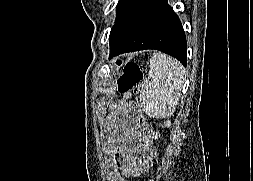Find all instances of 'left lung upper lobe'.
Segmentation results:
<instances>
[{"label":"left lung upper lobe","mask_w":253,"mask_h":181,"mask_svg":"<svg viewBox=\"0 0 253 181\" xmlns=\"http://www.w3.org/2000/svg\"><path fill=\"white\" fill-rule=\"evenodd\" d=\"M133 0H119L117 4V17L118 19L120 15L123 13V11L127 8V6L132 2Z\"/></svg>","instance_id":"1"}]
</instances>
